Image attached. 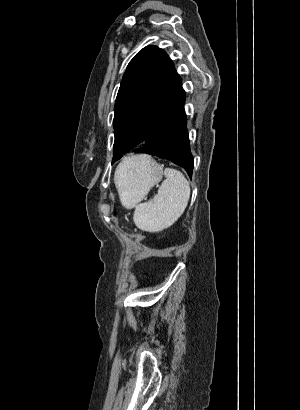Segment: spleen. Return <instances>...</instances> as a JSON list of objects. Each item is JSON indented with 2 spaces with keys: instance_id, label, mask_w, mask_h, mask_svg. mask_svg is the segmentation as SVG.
<instances>
[{
  "instance_id": "obj_1",
  "label": "spleen",
  "mask_w": 300,
  "mask_h": 410,
  "mask_svg": "<svg viewBox=\"0 0 300 410\" xmlns=\"http://www.w3.org/2000/svg\"><path fill=\"white\" fill-rule=\"evenodd\" d=\"M136 162L135 157L126 158L116 169L114 180L120 196L127 187V172L136 166ZM164 174L166 179L153 199L135 206L133 220L143 231L154 233L167 229L187 207L190 185L185 176L172 168H166Z\"/></svg>"
}]
</instances>
